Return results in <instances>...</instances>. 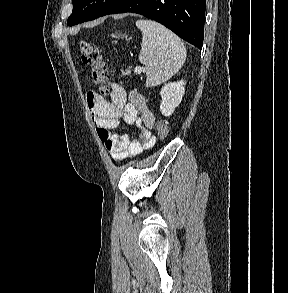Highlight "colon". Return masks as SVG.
Masks as SVG:
<instances>
[{"label": "colon", "instance_id": "1", "mask_svg": "<svg viewBox=\"0 0 288 293\" xmlns=\"http://www.w3.org/2000/svg\"><path fill=\"white\" fill-rule=\"evenodd\" d=\"M81 60L84 64L92 66V78L98 85L101 94L106 95L109 87L106 84L107 65L103 60L101 50L97 45L88 41H82L80 44ZM156 132L161 140L167 138L169 126L166 120H159L156 123Z\"/></svg>", "mask_w": 288, "mask_h": 293}]
</instances>
